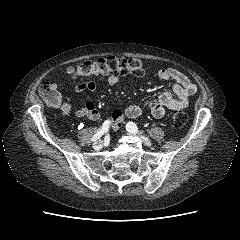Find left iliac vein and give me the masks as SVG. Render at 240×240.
<instances>
[{
    "mask_svg": "<svg viewBox=\"0 0 240 240\" xmlns=\"http://www.w3.org/2000/svg\"><path fill=\"white\" fill-rule=\"evenodd\" d=\"M138 138L145 146H148V147L152 146L151 141L147 137L143 135H138Z\"/></svg>",
    "mask_w": 240,
    "mask_h": 240,
    "instance_id": "obj_1",
    "label": "left iliac vein"
}]
</instances>
